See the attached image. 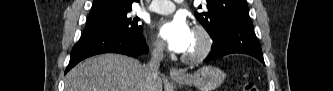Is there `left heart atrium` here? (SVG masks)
Segmentation results:
<instances>
[{"label": "left heart atrium", "mask_w": 333, "mask_h": 91, "mask_svg": "<svg viewBox=\"0 0 333 91\" xmlns=\"http://www.w3.org/2000/svg\"><path fill=\"white\" fill-rule=\"evenodd\" d=\"M193 31L186 18L176 15L171 19L161 21L157 25V35L167 47L177 53H185L187 50Z\"/></svg>", "instance_id": "39dd6f15"}]
</instances>
